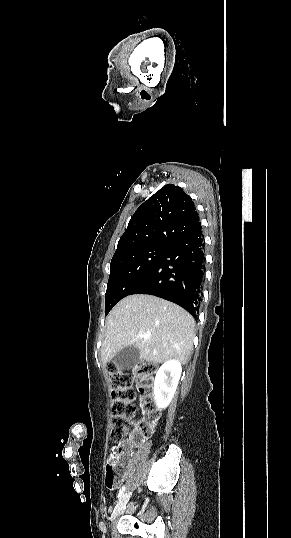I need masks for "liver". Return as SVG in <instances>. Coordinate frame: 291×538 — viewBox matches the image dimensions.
I'll use <instances>...</instances> for the list:
<instances>
[{"label": "liver", "mask_w": 291, "mask_h": 538, "mask_svg": "<svg viewBox=\"0 0 291 538\" xmlns=\"http://www.w3.org/2000/svg\"><path fill=\"white\" fill-rule=\"evenodd\" d=\"M195 321L183 308L152 295L138 294L121 300L107 317L102 343L104 365L127 346L139 349L140 359L186 363L194 338ZM143 333L147 338L139 337Z\"/></svg>", "instance_id": "liver-1"}]
</instances>
